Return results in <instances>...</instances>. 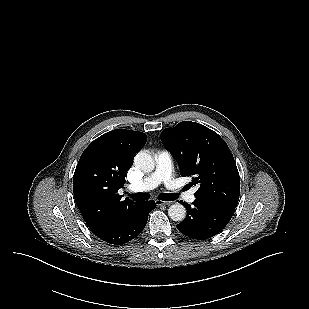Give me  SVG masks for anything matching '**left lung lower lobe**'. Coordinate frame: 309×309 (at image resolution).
Instances as JSON below:
<instances>
[{
  "label": "left lung lower lobe",
  "instance_id": "0a47b994",
  "mask_svg": "<svg viewBox=\"0 0 309 309\" xmlns=\"http://www.w3.org/2000/svg\"><path fill=\"white\" fill-rule=\"evenodd\" d=\"M182 203L188 212L177 228L185 236L196 240L209 239L221 232L235 210L204 199H196L193 206L186 202Z\"/></svg>",
  "mask_w": 309,
  "mask_h": 309
}]
</instances>
